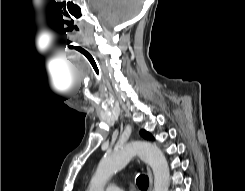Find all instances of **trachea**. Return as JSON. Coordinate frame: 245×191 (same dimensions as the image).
Segmentation results:
<instances>
[{"label":"trachea","instance_id":"3493384b","mask_svg":"<svg viewBox=\"0 0 245 191\" xmlns=\"http://www.w3.org/2000/svg\"><path fill=\"white\" fill-rule=\"evenodd\" d=\"M79 54L83 57V59L90 65V67L95 72L96 76L98 77L99 81H101V73L99 64L95 58V56L87 49L80 48L78 49ZM136 183L138 187L142 190H146L148 188L149 179L146 175H139L136 179Z\"/></svg>","mask_w":245,"mask_h":191}]
</instances>
